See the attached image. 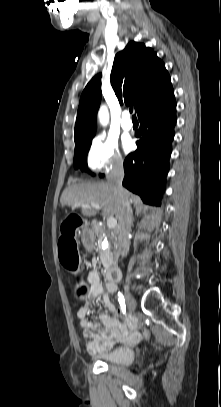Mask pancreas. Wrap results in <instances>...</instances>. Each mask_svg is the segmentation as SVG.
I'll return each mask as SVG.
<instances>
[{
  "instance_id": "obj_1",
  "label": "pancreas",
  "mask_w": 221,
  "mask_h": 407,
  "mask_svg": "<svg viewBox=\"0 0 221 407\" xmlns=\"http://www.w3.org/2000/svg\"><path fill=\"white\" fill-rule=\"evenodd\" d=\"M113 232L110 230H100L99 231V239L102 240L104 237H108L109 239L113 238ZM99 254L101 262L103 263L105 268H109L113 263V254L111 253V247L109 246L106 250H102L100 245L98 246Z\"/></svg>"
}]
</instances>
